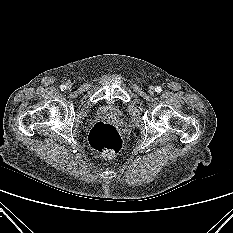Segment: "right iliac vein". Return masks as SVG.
<instances>
[{
    "mask_svg": "<svg viewBox=\"0 0 233 233\" xmlns=\"http://www.w3.org/2000/svg\"><path fill=\"white\" fill-rule=\"evenodd\" d=\"M72 88V83L71 82H68L67 83V89L70 90Z\"/></svg>",
    "mask_w": 233,
    "mask_h": 233,
    "instance_id": "right-iliac-vein-1",
    "label": "right iliac vein"
}]
</instances>
